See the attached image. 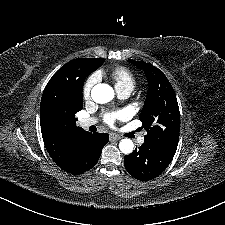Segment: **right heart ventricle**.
Segmentation results:
<instances>
[{
    "label": "right heart ventricle",
    "mask_w": 225,
    "mask_h": 225,
    "mask_svg": "<svg viewBox=\"0 0 225 225\" xmlns=\"http://www.w3.org/2000/svg\"><path fill=\"white\" fill-rule=\"evenodd\" d=\"M109 77L113 80L117 91H132L136 86V77L126 67H115L109 71Z\"/></svg>",
    "instance_id": "obj_1"
}]
</instances>
